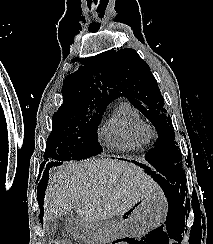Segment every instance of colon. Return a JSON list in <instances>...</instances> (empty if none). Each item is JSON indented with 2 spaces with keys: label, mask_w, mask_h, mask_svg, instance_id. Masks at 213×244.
<instances>
[{
  "label": "colon",
  "mask_w": 213,
  "mask_h": 244,
  "mask_svg": "<svg viewBox=\"0 0 213 244\" xmlns=\"http://www.w3.org/2000/svg\"><path fill=\"white\" fill-rule=\"evenodd\" d=\"M50 244H73L70 240L64 239L62 241H52Z\"/></svg>",
  "instance_id": "1"
}]
</instances>
